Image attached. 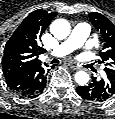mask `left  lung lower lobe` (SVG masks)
I'll return each mask as SVG.
<instances>
[{
  "instance_id": "obj_1",
  "label": "left lung lower lobe",
  "mask_w": 115,
  "mask_h": 119,
  "mask_svg": "<svg viewBox=\"0 0 115 119\" xmlns=\"http://www.w3.org/2000/svg\"><path fill=\"white\" fill-rule=\"evenodd\" d=\"M76 92L82 98L92 101H105L115 95V77L106 74V77L96 80L87 86H79Z\"/></svg>"
}]
</instances>
